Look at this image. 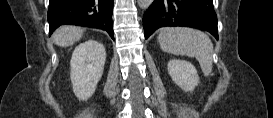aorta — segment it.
I'll return each instance as SVG.
<instances>
[{"label": "aorta", "mask_w": 273, "mask_h": 118, "mask_svg": "<svg viewBox=\"0 0 273 118\" xmlns=\"http://www.w3.org/2000/svg\"><path fill=\"white\" fill-rule=\"evenodd\" d=\"M153 0H138V5L140 8H148Z\"/></svg>", "instance_id": "aorta-1"}]
</instances>
